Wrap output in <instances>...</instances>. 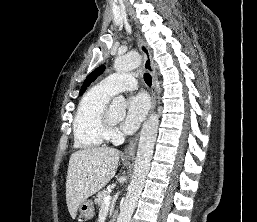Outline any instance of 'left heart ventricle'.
Instances as JSON below:
<instances>
[{"label":"left heart ventricle","mask_w":257,"mask_h":222,"mask_svg":"<svg viewBox=\"0 0 257 222\" xmlns=\"http://www.w3.org/2000/svg\"><path fill=\"white\" fill-rule=\"evenodd\" d=\"M109 113H110V118H111L112 122H114V123L119 122L122 118L121 112L112 110Z\"/></svg>","instance_id":"1"}]
</instances>
